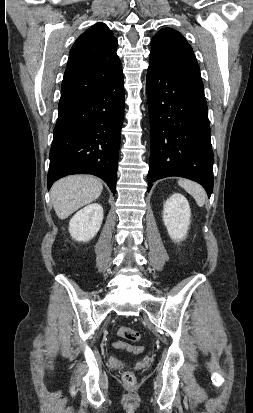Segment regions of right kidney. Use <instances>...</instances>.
Here are the masks:
<instances>
[{"instance_id": "right-kidney-1", "label": "right kidney", "mask_w": 253, "mask_h": 413, "mask_svg": "<svg viewBox=\"0 0 253 413\" xmlns=\"http://www.w3.org/2000/svg\"><path fill=\"white\" fill-rule=\"evenodd\" d=\"M102 220V206L97 203L89 204L72 217L69 223V233L76 241L87 242L97 234Z\"/></svg>"}]
</instances>
